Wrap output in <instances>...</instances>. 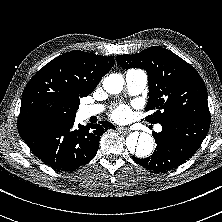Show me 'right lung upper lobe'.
Instances as JSON below:
<instances>
[{
	"mask_svg": "<svg viewBox=\"0 0 222 222\" xmlns=\"http://www.w3.org/2000/svg\"><path fill=\"white\" fill-rule=\"evenodd\" d=\"M113 63V56L104 57L79 50L53 59L26 85L17 124L75 120L80 98L96 88Z\"/></svg>",
	"mask_w": 222,
	"mask_h": 222,
	"instance_id": "obj_1",
	"label": "right lung upper lobe"
}]
</instances>
